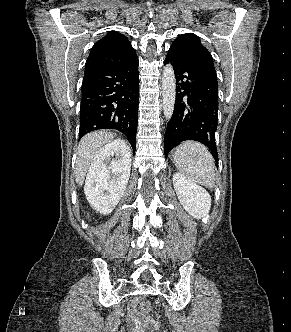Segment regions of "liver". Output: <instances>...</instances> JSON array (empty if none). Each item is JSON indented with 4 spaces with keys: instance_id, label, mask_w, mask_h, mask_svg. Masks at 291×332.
Returning <instances> with one entry per match:
<instances>
[{
    "instance_id": "1",
    "label": "liver",
    "mask_w": 291,
    "mask_h": 332,
    "mask_svg": "<svg viewBox=\"0 0 291 332\" xmlns=\"http://www.w3.org/2000/svg\"><path fill=\"white\" fill-rule=\"evenodd\" d=\"M114 134L105 131H96L85 135L77 149V159L75 166V178L76 183L82 186L87 170L98 154L99 150L103 148L106 143L112 142ZM128 147V146H127ZM129 155L131 156V150L128 147Z\"/></svg>"
}]
</instances>
